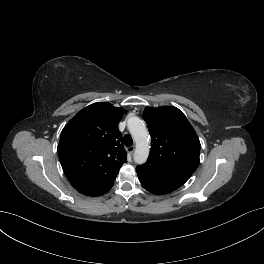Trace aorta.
<instances>
[{
	"label": "aorta",
	"instance_id": "obj_1",
	"mask_svg": "<svg viewBox=\"0 0 264 264\" xmlns=\"http://www.w3.org/2000/svg\"><path fill=\"white\" fill-rule=\"evenodd\" d=\"M127 125L136 142L134 161L137 164H144L149 156V135L145 124L140 118L131 117Z\"/></svg>",
	"mask_w": 264,
	"mask_h": 264
}]
</instances>
